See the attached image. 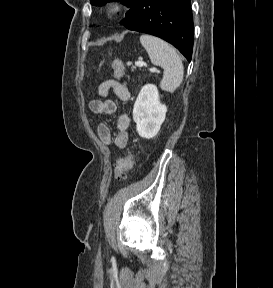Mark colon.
I'll list each match as a JSON object with an SVG mask.
<instances>
[{"instance_id": "1", "label": "colon", "mask_w": 273, "mask_h": 288, "mask_svg": "<svg viewBox=\"0 0 273 288\" xmlns=\"http://www.w3.org/2000/svg\"><path fill=\"white\" fill-rule=\"evenodd\" d=\"M112 68L114 71V75L117 78H120L124 72V65L121 60L115 59L112 63ZM133 165V155L128 154L119 158L116 161L115 168H114V178L116 180L125 179L128 172L132 168Z\"/></svg>"}]
</instances>
